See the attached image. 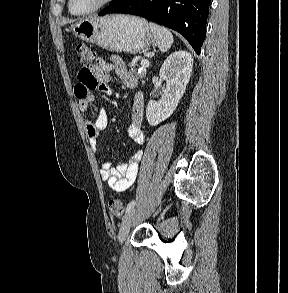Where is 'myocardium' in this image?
Instances as JSON below:
<instances>
[{
	"mask_svg": "<svg viewBox=\"0 0 288 293\" xmlns=\"http://www.w3.org/2000/svg\"><path fill=\"white\" fill-rule=\"evenodd\" d=\"M113 0H99L97 4H95L93 7L81 11V12H76L73 10L72 8V3L73 0H68V8L69 11L73 14V15H77V16H83V15H87V14H91L93 12L98 11L99 9L103 8L104 6L108 5L109 3H111Z\"/></svg>",
	"mask_w": 288,
	"mask_h": 293,
	"instance_id": "1",
	"label": "myocardium"
}]
</instances>
